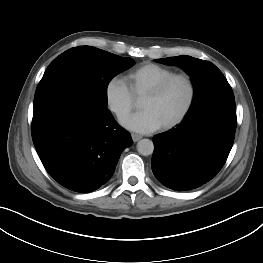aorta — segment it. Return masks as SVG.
I'll return each mask as SVG.
<instances>
[{"label": "aorta", "instance_id": "762f6f07", "mask_svg": "<svg viewBox=\"0 0 263 263\" xmlns=\"http://www.w3.org/2000/svg\"><path fill=\"white\" fill-rule=\"evenodd\" d=\"M137 151L143 156L151 155L154 151V144L149 139H142L137 143Z\"/></svg>", "mask_w": 263, "mask_h": 263}]
</instances>
